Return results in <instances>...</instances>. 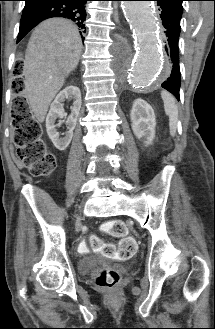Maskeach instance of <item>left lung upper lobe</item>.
Returning a JSON list of instances; mask_svg holds the SVG:
<instances>
[{
  "label": "left lung upper lobe",
  "instance_id": "5c2ea615",
  "mask_svg": "<svg viewBox=\"0 0 215 329\" xmlns=\"http://www.w3.org/2000/svg\"><path fill=\"white\" fill-rule=\"evenodd\" d=\"M167 2H169L171 5H173L175 8H177L179 11H183V7H182V2L185 0H165Z\"/></svg>",
  "mask_w": 215,
  "mask_h": 329
}]
</instances>
